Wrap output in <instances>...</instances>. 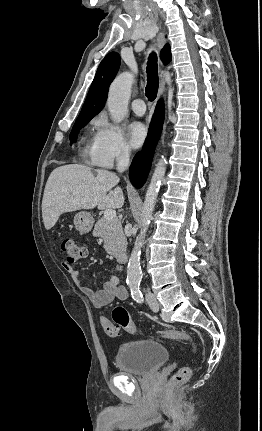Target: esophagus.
Returning <instances> with one entry per match:
<instances>
[{
  "label": "esophagus",
  "mask_w": 262,
  "mask_h": 431,
  "mask_svg": "<svg viewBox=\"0 0 262 431\" xmlns=\"http://www.w3.org/2000/svg\"><path fill=\"white\" fill-rule=\"evenodd\" d=\"M164 88H165V81H164L163 78H161V80H160V88H159V95H161L163 93Z\"/></svg>",
  "instance_id": "1"
}]
</instances>
